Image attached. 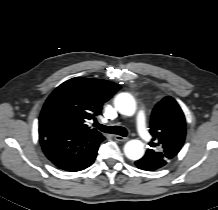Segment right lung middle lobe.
I'll return each mask as SVG.
<instances>
[{"label": "right lung middle lobe", "mask_w": 218, "mask_h": 210, "mask_svg": "<svg viewBox=\"0 0 218 210\" xmlns=\"http://www.w3.org/2000/svg\"><path fill=\"white\" fill-rule=\"evenodd\" d=\"M64 117L58 110L50 107H43L39 118V129L64 130Z\"/></svg>", "instance_id": "right-lung-middle-lobe-1"}]
</instances>
